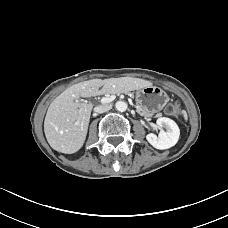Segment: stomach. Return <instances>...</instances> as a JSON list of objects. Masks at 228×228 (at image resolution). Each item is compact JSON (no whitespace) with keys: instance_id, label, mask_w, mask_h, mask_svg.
Here are the masks:
<instances>
[{"instance_id":"0dacf381","label":"stomach","mask_w":228,"mask_h":228,"mask_svg":"<svg viewBox=\"0 0 228 228\" xmlns=\"http://www.w3.org/2000/svg\"><path fill=\"white\" fill-rule=\"evenodd\" d=\"M168 101L167 94L157 86H147L136 92V103L144 111L154 113L162 110Z\"/></svg>"}]
</instances>
